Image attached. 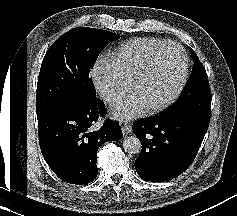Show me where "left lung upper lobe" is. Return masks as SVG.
<instances>
[{
  "instance_id": "left-lung-upper-lobe-1",
  "label": "left lung upper lobe",
  "mask_w": 237,
  "mask_h": 216,
  "mask_svg": "<svg viewBox=\"0 0 237 216\" xmlns=\"http://www.w3.org/2000/svg\"><path fill=\"white\" fill-rule=\"evenodd\" d=\"M189 50L195 61L191 76L179 100L162 115H178L193 122L209 124L212 98L208 76L196 53L191 48Z\"/></svg>"
}]
</instances>
